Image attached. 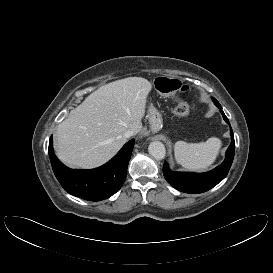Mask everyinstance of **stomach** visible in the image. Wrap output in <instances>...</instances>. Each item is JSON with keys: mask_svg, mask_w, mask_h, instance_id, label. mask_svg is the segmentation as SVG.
Wrapping results in <instances>:
<instances>
[{"mask_svg": "<svg viewBox=\"0 0 273 273\" xmlns=\"http://www.w3.org/2000/svg\"><path fill=\"white\" fill-rule=\"evenodd\" d=\"M154 88L155 90L164 97L172 96L176 93L174 88V82L172 78L167 76H157L154 79ZM147 117L149 119L151 129L154 132H157L162 127V116L160 112L156 109L153 104H150L148 107Z\"/></svg>", "mask_w": 273, "mask_h": 273, "instance_id": "obj_1", "label": "stomach"}]
</instances>
